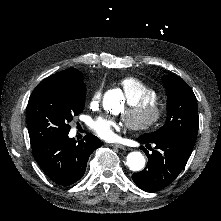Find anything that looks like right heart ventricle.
<instances>
[{"label":"right heart ventricle","instance_id":"1","mask_svg":"<svg viewBox=\"0 0 221 221\" xmlns=\"http://www.w3.org/2000/svg\"><path fill=\"white\" fill-rule=\"evenodd\" d=\"M161 90L148 83L137 81L136 87L133 91L126 94L128 103L136 108L141 103H146L155 96H160Z\"/></svg>","mask_w":221,"mask_h":221}]
</instances>
